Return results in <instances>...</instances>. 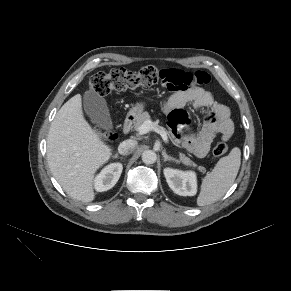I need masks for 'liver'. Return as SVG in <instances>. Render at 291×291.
Returning <instances> with one entry per match:
<instances>
[{"mask_svg": "<svg viewBox=\"0 0 291 291\" xmlns=\"http://www.w3.org/2000/svg\"><path fill=\"white\" fill-rule=\"evenodd\" d=\"M111 155V147L84 119L81 95L73 96L57 112L48 133L52 175L71 198L91 202L95 173Z\"/></svg>", "mask_w": 291, "mask_h": 291, "instance_id": "1", "label": "liver"}]
</instances>
